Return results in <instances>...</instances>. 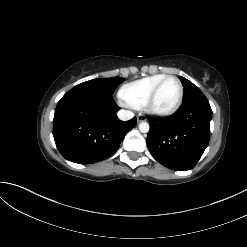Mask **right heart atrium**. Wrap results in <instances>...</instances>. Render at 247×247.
<instances>
[{
	"mask_svg": "<svg viewBox=\"0 0 247 247\" xmlns=\"http://www.w3.org/2000/svg\"><path fill=\"white\" fill-rule=\"evenodd\" d=\"M123 104H124V105H129L126 101H123Z\"/></svg>",
	"mask_w": 247,
	"mask_h": 247,
	"instance_id": "obj_1",
	"label": "right heart atrium"
}]
</instances>
